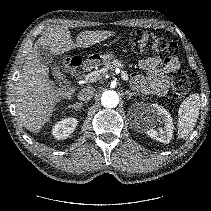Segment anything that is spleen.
Returning <instances> with one entry per match:
<instances>
[{
  "instance_id": "1",
  "label": "spleen",
  "mask_w": 211,
  "mask_h": 211,
  "mask_svg": "<svg viewBox=\"0 0 211 211\" xmlns=\"http://www.w3.org/2000/svg\"><path fill=\"white\" fill-rule=\"evenodd\" d=\"M200 96L198 93L190 94L178 110V138H185L195 127L199 111Z\"/></svg>"
}]
</instances>
